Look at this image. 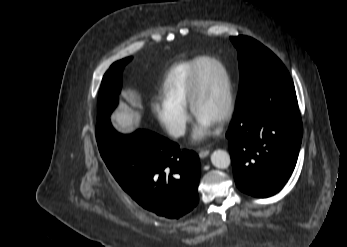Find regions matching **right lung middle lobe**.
<instances>
[{
	"label": "right lung middle lobe",
	"mask_w": 347,
	"mask_h": 247,
	"mask_svg": "<svg viewBox=\"0 0 347 247\" xmlns=\"http://www.w3.org/2000/svg\"><path fill=\"white\" fill-rule=\"evenodd\" d=\"M131 59L128 57L115 62L105 73L98 97L97 122L108 120L111 112L117 106L118 94L121 90V73Z\"/></svg>",
	"instance_id": "1"
}]
</instances>
